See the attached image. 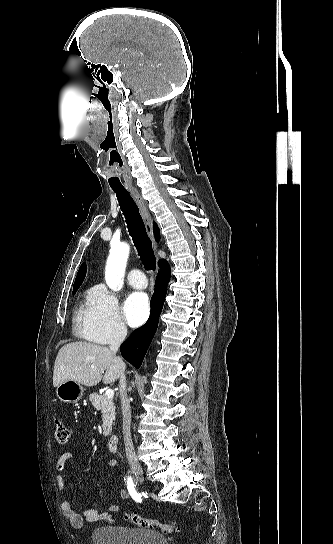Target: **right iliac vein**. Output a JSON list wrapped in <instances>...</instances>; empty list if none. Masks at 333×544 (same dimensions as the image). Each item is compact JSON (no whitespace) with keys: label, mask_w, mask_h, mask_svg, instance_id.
Here are the masks:
<instances>
[{"label":"right iliac vein","mask_w":333,"mask_h":544,"mask_svg":"<svg viewBox=\"0 0 333 544\" xmlns=\"http://www.w3.org/2000/svg\"><path fill=\"white\" fill-rule=\"evenodd\" d=\"M134 474H135V476L137 477V479H139L140 481H142L141 471H139V470H134Z\"/></svg>","instance_id":"1"}]
</instances>
